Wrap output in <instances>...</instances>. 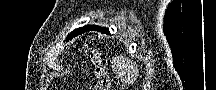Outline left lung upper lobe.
<instances>
[{"mask_svg":"<svg viewBox=\"0 0 216 90\" xmlns=\"http://www.w3.org/2000/svg\"><path fill=\"white\" fill-rule=\"evenodd\" d=\"M88 27H90V26H84V27H82V28H79V29L74 30L73 32H71V33L68 35L67 41H68L69 39H72L73 37L77 36L79 33H81L82 31H84V30L87 29Z\"/></svg>","mask_w":216,"mask_h":90,"instance_id":"obj_1","label":"left lung upper lobe"}]
</instances>
